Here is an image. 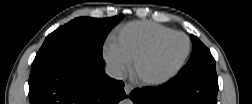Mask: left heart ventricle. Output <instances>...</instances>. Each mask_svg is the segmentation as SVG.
I'll use <instances>...</instances> for the list:
<instances>
[{
  "mask_svg": "<svg viewBox=\"0 0 252 104\" xmlns=\"http://www.w3.org/2000/svg\"><path fill=\"white\" fill-rule=\"evenodd\" d=\"M187 41L183 36L173 37L157 54H151L143 59L137 67L140 75H149L174 64L184 54Z\"/></svg>",
  "mask_w": 252,
  "mask_h": 104,
  "instance_id": "obj_1",
  "label": "left heart ventricle"
}]
</instances>
